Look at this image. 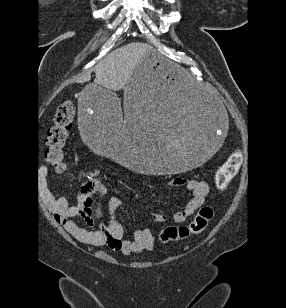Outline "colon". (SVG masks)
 Returning a JSON list of instances; mask_svg holds the SVG:
<instances>
[{
  "mask_svg": "<svg viewBox=\"0 0 286 308\" xmlns=\"http://www.w3.org/2000/svg\"><path fill=\"white\" fill-rule=\"evenodd\" d=\"M75 114L74 103L70 100L64 101L59 105L53 125L48 132L45 158L56 172H62L65 169L64 148L69 138ZM242 162L243 156L241 151L236 150L229 155L215 175V184L218 189L225 190L228 187L238 173ZM213 215L214 210L211 206H203L188 225L168 226L162 229L159 234V240L162 243H168L199 234L206 229Z\"/></svg>",
  "mask_w": 286,
  "mask_h": 308,
  "instance_id": "colon-1",
  "label": "colon"
}]
</instances>
